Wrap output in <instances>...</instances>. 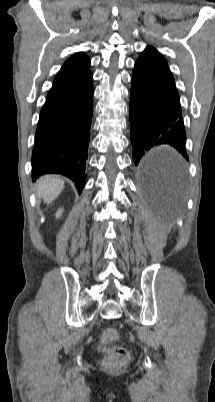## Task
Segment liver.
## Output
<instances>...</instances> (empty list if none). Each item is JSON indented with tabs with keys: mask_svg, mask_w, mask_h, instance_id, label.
<instances>
[{
	"mask_svg": "<svg viewBox=\"0 0 215 402\" xmlns=\"http://www.w3.org/2000/svg\"><path fill=\"white\" fill-rule=\"evenodd\" d=\"M64 188V181L53 175H45L41 177L36 184V193L38 197L43 198L44 202L49 204Z\"/></svg>",
	"mask_w": 215,
	"mask_h": 402,
	"instance_id": "6515ba94",
	"label": "liver"
}]
</instances>
